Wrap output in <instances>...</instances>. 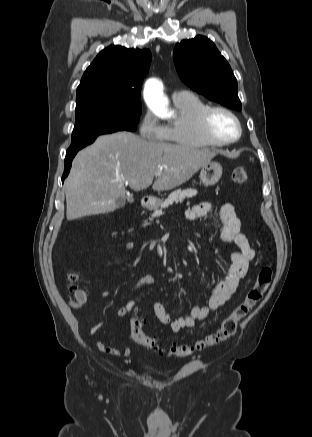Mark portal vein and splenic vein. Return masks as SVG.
Masks as SVG:
<instances>
[{"label":"portal vein and splenic vein","mask_w":312,"mask_h":437,"mask_svg":"<svg viewBox=\"0 0 312 437\" xmlns=\"http://www.w3.org/2000/svg\"><path fill=\"white\" fill-rule=\"evenodd\" d=\"M161 171H162V168H160V171H159V172H157V173L155 174V176H159V175H160V173H161Z\"/></svg>","instance_id":"18ae733b"}]
</instances>
